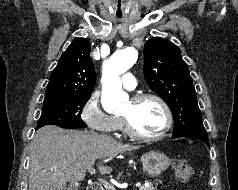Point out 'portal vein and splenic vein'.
<instances>
[{"mask_svg": "<svg viewBox=\"0 0 238 190\" xmlns=\"http://www.w3.org/2000/svg\"><path fill=\"white\" fill-rule=\"evenodd\" d=\"M88 171H89V173H90L91 175L95 174V169H93V168H89ZM102 183L104 184L105 187H109V188H111L112 190H116L110 183H108V182H106V181H102ZM135 186H136V187H141V183L138 182V183H136Z\"/></svg>", "mask_w": 238, "mask_h": 190, "instance_id": "obj_1", "label": "portal vein and splenic vein"}]
</instances>
